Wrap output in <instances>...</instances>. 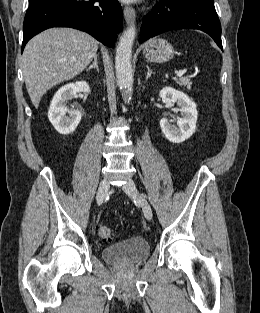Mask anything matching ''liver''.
I'll return each mask as SVG.
<instances>
[{
	"label": "liver",
	"mask_w": 260,
	"mask_h": 313,
	"mask_svg": "<svg viewBox=\"0 0 260 313\" xmlns=\"http://www.w3.org/2000/svg\"><path fill=\"white\" fill-rule=\"evenodd\" d=\"M98 44L91 35L72 28H52L33 37L23 52V76L33 105L38 108L50 88L81 73Z\"/></svg>",
	"instance_id": "liver-1"
}]
</instances>
